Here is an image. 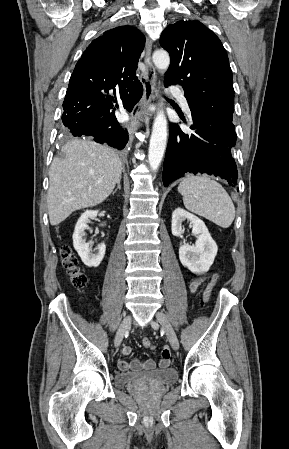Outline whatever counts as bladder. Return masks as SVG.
Listing matches in <instances>:
<instances>
[{"mask_svg":"<svg viewBox=\"0 0 289 449\" xmlns=\"http://www.w3.org/2000/svg\"><path fill=\"white\" fill-rule=\"evenodd\" d=\"M178 374L174 368L153 369L145 372H118L114 376L115 386L125 388L128 385H165L174 383Z\"/></svg>","mask_w":289,"mask_h":449,"instance_id":"obj_1","label":"bladder"}]
</instances>
